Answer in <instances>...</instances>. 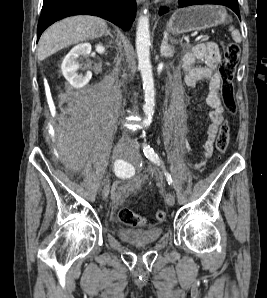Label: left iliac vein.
I'll use <instances>...</instances> for the list:
<instances>
[{"label": "left iliac vein", "instance_id": "left-iliac-vein-1", "mask_svg": "<svg viewBox=\"0 0 267 298\" xmlns=\"http://www.w3.org/2000/svg\"><path fill=\"white\" fill-rule=\"evenodd\" d=\"M127 158H130L133 162L138 160V152L133 146L127 149ZM165 200L169 206H173L175 203V197L171 192L166 193Z\"/></svg>", "mask_w": 267, "mask_h": 298}]
</instances>
